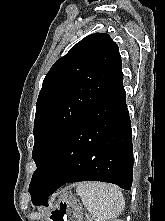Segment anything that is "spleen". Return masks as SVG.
<instances>
[{"instance_id": "3e777b00", "label": "spleen", "mask_w": 165, "mask_h": 221, "mask_svg": "<svg viewBox=\"0 0 165 221\" xmlns=\"http://www.w3.org/2000/svg\"><path fill=\"white\" fill-rule=\"evenodd\" d=\"M76 192L88 212L98 221L115 219L125 207L123 194L115 185L82 182L77 185Z\"/></svg>"}]
</instances>
